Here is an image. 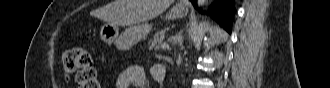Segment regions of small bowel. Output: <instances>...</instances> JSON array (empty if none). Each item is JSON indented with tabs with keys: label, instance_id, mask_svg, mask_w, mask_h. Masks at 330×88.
<instances>
[{
	"label": "small bowel",
	"instance_id": "1",
	"mask_svg": "<svg viewBox=\"0 0 330 88\" xmlns=\"http://www.w3.org/2000/svg\"><path fill=\"white\" fill-rule=\"evenodd\" d=\"M150 74L154 81L161 83L166 79L167 70L164 65L155 64L151 67ZM116 86L118 88H129L131 86L148 88L149 84L144 69L138 65H131L119 73Z\"/></svg>",
	"mask_w": 330,
	"mask_h": 88
}]
</instances>
